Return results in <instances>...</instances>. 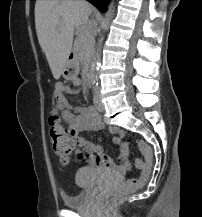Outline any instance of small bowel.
I'll use <instances>...</instances> for the list:
<instances>
[{"label":"small bowel","instance_id":"c3829d8e","mask_svg":"<svg viewBox=\"0 0 202 217\" xmlns=\"http://www.w3.org/2000/svg\"><path fill=\"white\" fill-rule=\"evenodd\" d=\"M80 83L79 78L73 79L75 86H79ZM71 93H73V90L64 83L57 82L55 84L54 94L57 108L67 123V131L76 139L77 144L85 150L81 159L84 160L88 167L101 172L117 176L125 175L131 170L132 165L129 160V146L123 141L124 132L117 127L109 128V132L113 135V141L120 148L118 160L114 162L105 155L103 146L89 142L79 136L84 131L101 128V117L93 106L79 107L72 105L66 98V95Z\"/></svg>","mask_w":202,"mask_h":217}]
</instances>
